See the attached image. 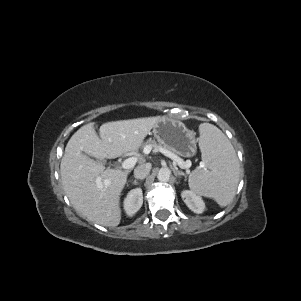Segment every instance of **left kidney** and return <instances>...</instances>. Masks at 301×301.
Returning a JSON list of instances; mask_svg holds the SVG:
<instances>
[{
	"instance_id": "5707ae66",
	"label": "left kidney",
	"mask_w": 301,
	"mask_h": 301,
	"mask_svg": "<svg viewBox=\"0 0 301 301\" xmlns=\"http://www.w3.org/2000/svg\"><path fill=\"white\" fill-rule=\"evenodd\" d=\"M181 197L187 207L194 213L201 214L205 209V204L200 196L193 191L185 190L181 193Z\"/></svg>"
}]
</instances>
